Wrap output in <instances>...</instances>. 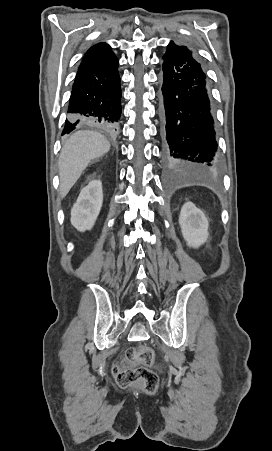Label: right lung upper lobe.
<instances>
[{
  "label": "right lung upper lobe",
  "instance_id": "obj_1",
  "mask_svg": "<svg viewBox=\"0 0 272 451\" xmlns=\"http://www.w3.org/2000/svg\"><path fill=\"white\" fill-rule=\"evenodd\" d=\"M108 52H111V47L105 43H98L95 46L91 47L86 54L84 55L83 59L92 57V56H98L102 54H106Z\"/></svg>",
  "mask_w": 272,
  "mask_h": 451
}]
</instances>
